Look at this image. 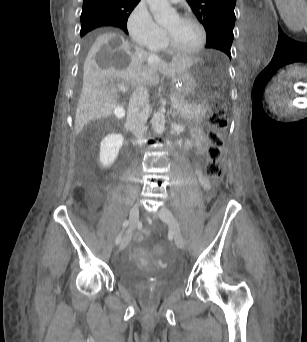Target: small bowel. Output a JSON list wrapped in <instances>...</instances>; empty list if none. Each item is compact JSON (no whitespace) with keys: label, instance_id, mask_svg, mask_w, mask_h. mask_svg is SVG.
<instances>
[{"label":"small bowel","instance_id":"small-bowel-1","mask_svg":"<svg viewBox=\"0 0 307 342\" xmlns=\"http://www.w3.org/2000/svg\"><path fill=\"white\" fill-rule=\"evenodd\" d=\"M191 135H192V139H189L186 141L185 147L187 149H189L193 146V144H195L198 152L200 154H203L208 147V140L206 138L205 133L203 132V130L200 127L195 126L192 128ZM196 174L198 176L200 183L204 187H208V185H209L208 179L202 174V172L199 168H197ZM146 233H147V231H144V234H146ZM135 239L138 242H140L143 239V237L142 236H136Z\"/></svg>","mask_w":307,"mask_h":342}]
</instances>
